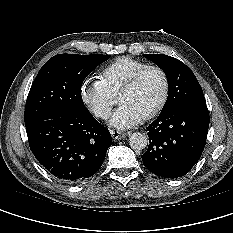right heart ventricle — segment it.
Segmentation results:
<instances>
[{"label":"right heart ventricle","instance_id":"e07e8e85","mask_svg":"<svg viewBox=\"0 0 233 233\" xmlns=\"http://www.w3.org/2000/svg\"><path fill=\"white\" fill-rule=\"evenodd\" d=\"M147 65L141 60L119 57L101 71L100 79L112 94H117L136 71Z\"/></svg>","mask_w":233,"mask_h":233}]
</instances>
